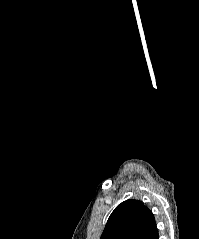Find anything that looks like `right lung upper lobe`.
<instances>
[{
    "mask_svg": "<svg viewBox=\"0 0 199 239\" xmlns=\"http://www.w3.org/2000/svg\"><path fill=\"white\" fill-rule=\"evenodd\" d=\"M156 226L153 213L139 200H126L111 213L100 239H143Z\"/></svg>",
    "mask_w": 199,
    "mask_h": 239,
    "instance_id": "obj_1",
    "label": "right lung upper lobe"
}]
</instances>
